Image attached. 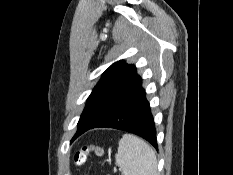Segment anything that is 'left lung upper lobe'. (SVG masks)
Instances as JSON below:
<instances>
[{
  "instance_id": "left-lung-upper-lobe-1",
  "label": "left lung upper lobe",
  "mask_w": 233,
  "mask_h": 175,
  "mask_svg": "<svg viewBox=\"0 0 233 175\" xmlns=\"http://www.w3.org/2000/svg\"><path fill=\"white\" fill-rule=\"evenodd\" d=\"M139 79L140 76L137 75L134 65L125 64L122 60L112 64L103 73L88 97L73 139L102 117L115 101Z\"/></svg>"
}]
</instances>
